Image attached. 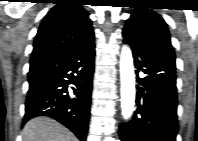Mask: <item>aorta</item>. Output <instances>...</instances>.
<instances>
[{
    "label": "aorta",
    "instance_id": "obj_1",
    "mask_svg": "<svg viewBox=\"0 0 198 141\" xmlns=\"http://www.w3.org/2000/svg\"><path fill=\"white\" fill-rule=\"evenodd\" d=\"M120 81H121V111L125 120H128L135 105V73L131 49L125 45L120 54Z\"/></svg>",
    "mask_w": 198,
    "mask_h": 141
}]
</instances>
